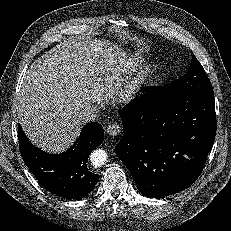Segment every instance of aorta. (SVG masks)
<instances>
[{"label": "aorta", "mask_w": 231, "mask_h": 231, "mask_svg": "<svg viewBox=\"0 0 231 231\" xmlns=\"http://www.w3.org/2000/svg\"><path fill=\"white\" fill-rule=\"evenodd\" d=\"M107 153L103 149H96L90 154V161L96 167L103 166L107 161Z\"/></svg>", "instance_id": "762f6f07"}]
</instances>
